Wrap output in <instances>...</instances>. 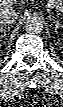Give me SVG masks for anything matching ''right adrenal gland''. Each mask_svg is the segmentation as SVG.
<instances>
[{"mask_svg": "<svg viewBox=\"0 0 63 107\" xmlns=\"http://www.w3.org/2000/svg\"><path fill=\"white\" fill-rule=\"evenodd\" d=\"M11 27H1L0 28V38H4L6 36V32L9 31ZM2 41V40H1Z\"/></svg>", "mask_w": 63, "mask_h": 107, "instance_id": "obj_1", "label": "right adrenal gland"}]
</instances>
